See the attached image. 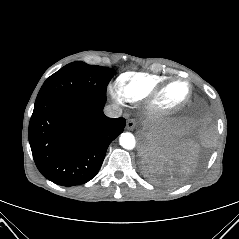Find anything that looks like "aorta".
Instances as JSON below:
<instances>
[{"label": "aorta", "mask_w": 239, "mask_h": 239, "mask_svg": "<svg viewBox=\"0 0 239 239\" xmlns=\"http://www.w3.org/2000/svg\"><path fill=\"white\" fill-rule=\"evenodd\" d=\"M119 144L126 150H132L136 146V140L132 133H122L119 137Z\"/></svg>", "instance_id": "aorta-1"}]
</instances>
